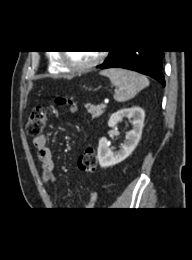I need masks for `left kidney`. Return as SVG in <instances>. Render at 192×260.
<instances>
[{"label":"left kidney","instance_id":"left-kidney-1","mask_svg":"<svg viewBox=\"0 0 192 260\" xmlns=\"http://www.w3.org/2000/svg\"><path fill=\"white\" fill-rule=\"evenodd\" d=\"M123 118L132 119L133 128L127 132L125 141L118 151L110 148L107 138L102 137L99 140L97 158L102 168L116 165L125 160L134 151L141 139L145 118L144 110L140 107L121 109L111 115L108 126L116 127Z\"/></svg>","mask_w":192,"mask_h":260}]
</instances>
